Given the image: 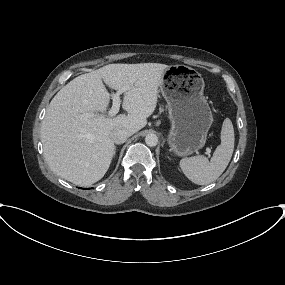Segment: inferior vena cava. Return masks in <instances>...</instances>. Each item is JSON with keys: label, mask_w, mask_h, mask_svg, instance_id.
Returning <instances> with one entry per match:
<instances>
[{"label": "inferior vena cava", "mask_w": 285, "mask_h": 285, "mask_svg": "<svg viewBox=\"0 0 285 285\" xmlns=\"http://www.w3.org/2000/svg\"><path fill=\"white\" fill-rule=\"evenodd\" d=\"M130 135L128 130L120 128L114 129L110 134L112 141L116 144L124 143Z\"/></svg>", "instance_id": "obj_1"}]
</instances>
